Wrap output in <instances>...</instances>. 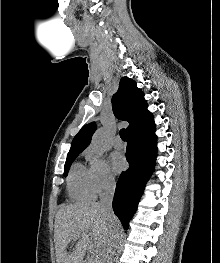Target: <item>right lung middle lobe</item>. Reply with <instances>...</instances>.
<instances>
[{"label":"right lung middle lobe","mask_w":220,"mask_h":263,"mask_svg":"<svg viewBox=\"0 0 220 263\" xmlns=\"http://www.w3.org/2000/svg\"><path fill=\"white\" fill-rule=\"evenodd\" d=\"M79 154H73V155H68L67 156V160L65 163V168H64V176L66 177L69 171V168L72 164V162L75 160V158L78 156Z\"/></svg>","instance_id":"obj_1"}]
</instances>
